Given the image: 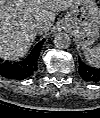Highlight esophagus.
<instances>
[{
	"label": "esophagus",
	"instance_id": "obj_1",
	"mask_svg": "<svg viewBox=\"0 0 100 118\" xmlns=\"http://www.w3.org/2000/svg\"><path fill=\"white\" fill-rule=\"evenodd\" d=\"M54 33H66L68 32V23L66 20H62L56 24L53 28Z\"/></svg>",
	"mask_w": 100,
	"mask_h": 118
}]
</instances>
